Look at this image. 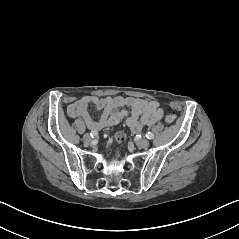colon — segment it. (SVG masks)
Listing matches in <instances>:
<instances>
[{
    "mask_svg": "<svg viewBox=\"0 0 239 239\" xmlns=\"http://www.w3.org/2000/svg\"><path fill=\"white\" fill-rule=\"evenodd\" d=\"M175 119H176V116H175L174 113L168 114V115L165 117V123H167V124H172V123L175 121ZM124 137H125V135H124V133H122V132H118V133L116 134V139H117L118 141H123V140H124Z\"/></svg>",
    "mask_w": 239,
    "mask_h": 239,
    "instance_id": "obj_1",
    "label": "colon"
}]
</instances>
